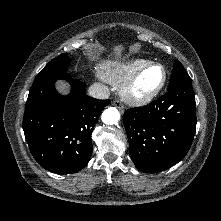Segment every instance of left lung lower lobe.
Listing matches in <instances>:
<instances>
[{"label":"left lung lower lobe","instance_id":"1","mask_svg":"<svg viewBox=\"0 0 221 221\" xmlns=\"http://www.w3.org/2000/svg\"><path fill=\"white\" fill-rule=\"evenodd\" d=\"M195 110L192 81H184L149 105L125 111L129 153L140 171L161 172L184 158L195 135Z\"/></svg>","mask_w":221,"mask_h":221}]
</instances>
